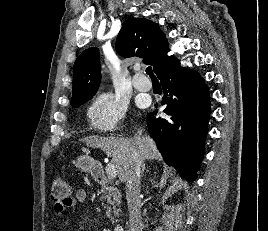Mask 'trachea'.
<instances>
[{
    "mask_svg": "<svg viewBox=\"0 0 268 231\" xmlns=\"http://www.w3.org/2000/svg\"><path fill=\"white\" fill-rule=\"evenodd\" d=\"M146 73L150 76V78H156V76L153 74L151 66L146 68Z\"/></svg>",
    "mask_w": 268,
    "mask_h": 231,
    "instance_id": "obj_1",
    "label": "trachea"
}]
</instances>
